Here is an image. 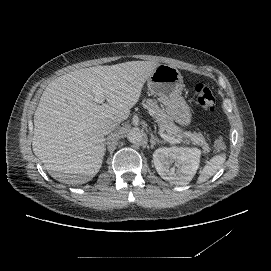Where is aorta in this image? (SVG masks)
<instances>
[{
	"instance_id": "1",
	"label": "aorta",
	"mask_w": 271,
	"mask_h": 271,
	"mask_svg": "<svg viewBox=\"0 0 271 271\" xmlns=\"http://www.w3.org/2000/svg\"><path fill=\"white\" fill-rule=\"evenodd\" d=\"M127 138L130 143L137 144L143 140V134L139 129L133 128L127 134Z\"/></svg>"
}]
</instances>
